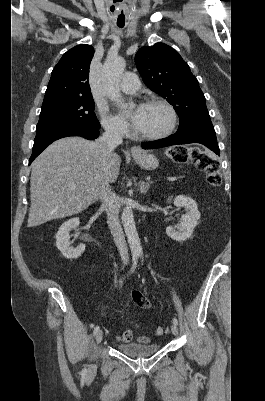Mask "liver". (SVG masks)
<instances>
[{"mask_svg":"<svg viewBox=\"0 0 265 401\" xmlns=\"http://www.w3.org/2000/svg\"><path fill=\"white\" fill-rule=\"evenodd\" d=\"M120 156L97 140L67 136L47 146L31 164L27 227L64 219L95 203L103 182H115Z\"/></svg>","mask_w":265,"mask_h":401,"instance_id":"obj_1","label":"liver"}]
</instances>
